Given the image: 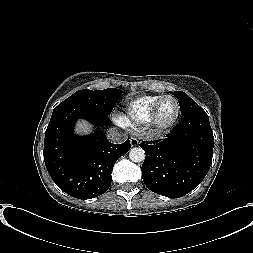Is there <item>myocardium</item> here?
Here are the masks:
<instances>
[{
	"label": "myocardium",
	"mask_w": 253,
	"mask_h": 253,
	"mask_svg": "<svg viewBox=\"0 0 253 253\" xmlns=\"http://www.w3.org/2000/svg\"><path fill=\"white\" fill-rule=\"evenodd\" d=\"M172 99L175 104H176V113L174 115V117L167 123H159L158 121V112H159V108L161 103L165 100V99ZM180 112H181V107H180V103L178 101V99L173 96V95H163L161 96L156 103L154 104V106L152 107L150 114L148 116V119L146 121V129L150 134L153 135H160L162 133H165L166 131H168L178 120L179 116H180Z\"/></svg>",
	"instance_id": "f54148a6"
}]
</instances>
